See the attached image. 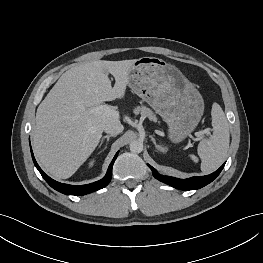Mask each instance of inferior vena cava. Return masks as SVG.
Instances as JSON below:
<instances>
[{
	"instance_id": "inferior-vena-cava-1",
	"label": "inferior vena cava",
	"mask_w": 263,
	"mask_h": 263,
	"mask_svg": "<svg viewBox=\"0 0 263 263\" xmlns=\"http://www.w3.org/2000/svg\"><path fill=\"white\" fill-rule=\"evenodd\" d=\"M123 129L124 127L120 122H112L104 127V131L111 135H118Z\"/></svg>"
}]
</instances>
